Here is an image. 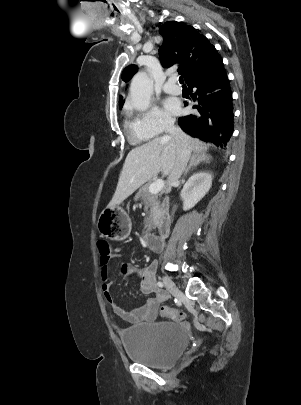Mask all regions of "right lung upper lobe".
<instances>
[{
	"instance_id": "1",
	"label": "right lung upper lobe",
	"mask_w": 301,
	"mask_h": 405,
	"mask_svg": "<svg viewBox=\"0 0 301 405\" xmlns=\"http://www.w3.org/2000/svg\"><path fill=\"white\" fill-rule=\"evenodd\" d=\"M159 33L163 37V44L159 49L163 67L180 63L178 72L184 76L186 83L206 73L222 59L208 39L192 26L170 21L162 25ZM136 71V65L128 66L122 73V79L127 82ZM123 103L120 96V109Z\"/></svg>"
}]
</instances>
